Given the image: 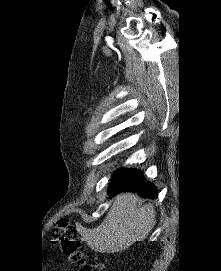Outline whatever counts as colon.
<instances>
[{"label": "colon", "instance_id": "obj_1", "mask_svg": "<svg viewBox=\"0 0 221 271\" xmlns=\"http://www.w3.org/2000/svg\"><path fill=\"white\" fill-rule=\"evenodd\" d=\"M71 222L68 217H62L57 222V227L53 231L54 239L62 253L73 262H83L84 254L81 251L82 242L79 238L78 231L74 226H70ZM79 271H94L92 264L81 266Z\"/></svg>", "mask_w": 221, "mask_h": 271}]
</instances>
